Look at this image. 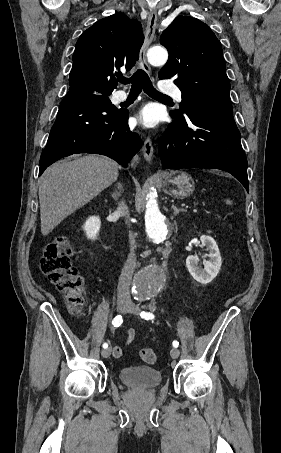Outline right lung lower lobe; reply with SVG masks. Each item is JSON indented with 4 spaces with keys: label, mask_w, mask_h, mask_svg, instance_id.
<instances>
[{
    "label": "right lung lower lobe",
    "mask_w": 281,
    "mask_h": 453,
    "mask_svg": "<svg viewBox=\"0 0 281 453\" xmlns=\"http://www.w3.org/2000/svg\"><path fill=\"white\" fill-rule=\"evenodd\" d=\"M140 148L138 134L129 130L128 112L118 110L107 96L65 97L41 154L39 175L75 153L106 155L127 167Z\"/></svg>",
    "instance_id": "1"
}]
</instances>
